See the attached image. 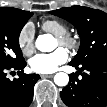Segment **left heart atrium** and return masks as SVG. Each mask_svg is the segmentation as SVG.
Segmentation results:
<instances>
[{
	"label": "left heart atrium",
	"instance_id": "left-heart-atrium-1",
	"mask_svg": "<svg viewBox=\"0 0 107 107\" xmlns=\"http://www.w3.org/2000/svg\"><path fill=\"white\" fill-rule=\"evenodd\" d=\"M68 60V53L63 48H58L51 53L37 54L30 61L34 72L49 74L55 72L61 64Z\"/></svg>",
	"mask_w": 107,
	"mask_h": 107
}]
</instances>
